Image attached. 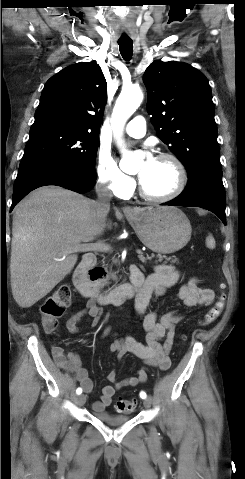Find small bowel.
<instances>
[{
    "instance_id": "1",
    "label": "small bowel",
    "mask_w": 245,
    "mask_h": 479,
    "mask_svg": "<svg viewBox=\"0 0 245 479\" xmlns=\"http://www.w3.org/2000/svg\"><path fill=\"white\" fill-rule=\"evenodd\" d=\"M135 268L137 267L132 266L131 270ZM143 279L144 287L136 298L135 311L137 315L144 316L143 327L146 331V343H141L132 337H123L116 339L109 348L116 354L119 361L130 353L141 358L146 366L168 370L171 367L169 355L174 344L177 325L183 317L174 311L166 312L159 317L155 312H147V307L153 295H162L177 283L179 273L172 266L157 265L153 272ZM177 297L186 307H197L210 304L214 300L215 294L210 288L201 286L196 278H192L180 287ZM101 313L98 302L88 299L84 309L69 316L66 320V328L71 334L79 333L80 323L85 317L90 318L91 327H96ZM109 332L110 328H105L103 336ZM52 357L58 368L75 375L85 393L91 392L92 380L76 352L70 351L65 354L62 347L55 346L52 348ZM107 378L111 384L103 387L100 400L92 404V409L96 413L104 412L111 405L116 391L123 387H135L146 382L148 373L147 368L143 367L137 370L134 376L118 380L116 372L112 370Z\"/></svg>"
}]
</instances>
